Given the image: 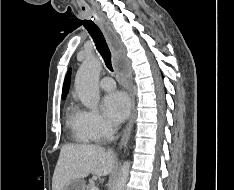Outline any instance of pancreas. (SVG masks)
Here are the masks:
<instances>
[{"label":"pancreas","mask_w":234,"mask_h":190,"mask_svg":"<svg viewBox=\"0 0 234 190\" xmlns=\"http://www.w3.org/2000/svg\"><path fill=\"white\" fill-rule=\"evenodd\" d=\"M94 186H95L94 180H93V179H90V180H89V183H88V185H87V187H86V190H91L92 187H94Z\"/></svg>","instance_id":"obj_1"}]
</instances>
